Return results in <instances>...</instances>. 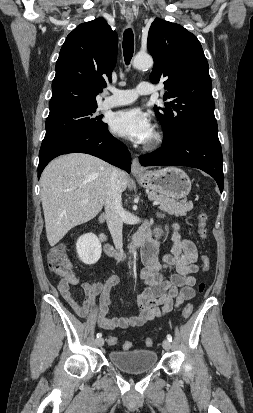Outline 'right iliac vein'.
I'll list each match as a JSON object with an SVG mask.
<instances>
[{
    "label": "right iliac vein",
    "mask_w": 253,
    "mask_h": 413,
    "mask_svg": "<svg viewBox=\"0 0 253 413\" xmlns=\"http://www.w3.org/2000/svg\"><path fill=\"white\" fill-rule=\"evenodd\" d=\"M95 342L98 347H102L104 345V339L102 337L97 338Z\"/></svg>",
    "instance_id": "right-iliac-vein-1"
}]
</instances>
